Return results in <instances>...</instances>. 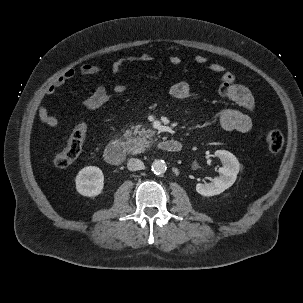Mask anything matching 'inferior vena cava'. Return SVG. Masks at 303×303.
I'll return each mask as SVG.
<instances>
[{
  "instance_id": "602c4592",
  "label": "inferior vena cava",
  "mask_w": 303,
  "mask_h": 303,
  "mask_svg": "<svg viewBox=\"0 0 303 303\" xmlns=\"http://www.w3.org/2000/svg\"><path fill=\"white\" fill-rule=\"evenodd\" d=\"M127 168L130 171L141 170V169L144 168V163L141 160L137 159V158H131L127 162Z\"/></svg>"
}]
</instances>
